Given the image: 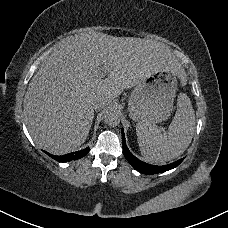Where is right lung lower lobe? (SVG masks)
<instances>
[{"label": "right lung lower lobe", "mask_w": 228, "mask_h": 228, "mask_svg": "<svg viewBox=\"0 0 228 228\" xmlns=\"http://www.w3.org/2000/svg\"><path fill=\"white\" fill-rule=\"evenodd\" d=\"M89 148H85L83 150H80V151H76V152H73V153H68V154H65V155H62V156H53L47 152H45L47 155H49L50 157L54 158L55 160L57 161H60V162H66V161H71V160H74V159H80L82 157H84L88 152H89Z\"/></svg>", "instance_id": "obj_1"}]
</instances>
